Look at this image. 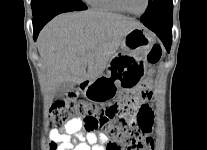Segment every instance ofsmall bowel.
<instances>
[{
    "mask_svg": "<svg viewBox=\"0 0 207 150\" xmlns=\"http://www.w3.org/2000/svg\"><path fill=\"white\" fill-rule=\"evenodd\" d=\"M49 137L57 143V150H105L109 140L103 133H85L83 122L78 118L69 120L62 130L52 129Z\"/></svg>",
    "mask_w": 207,
    "mask_h": 150,
    "instance_id": "obj_1",
    "label": "small bowel"
}]
</instances>
